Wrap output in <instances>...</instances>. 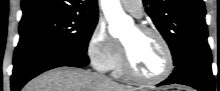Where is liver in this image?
<instances>
[{"label":"liver","mask_w":220,"mask_h":91,"mask_svg":"<svg viewBox=\"0 0 220 91\" xmlns=\"http://www.w3.org/2000/svg\"><path fill=\"white\" fill-rule=\"evenodd\" d=\"M22 91H136L99 74L73 67H58L28 82Z\"/></svg>","instance_id":"6515ba94"}]
</instances>
